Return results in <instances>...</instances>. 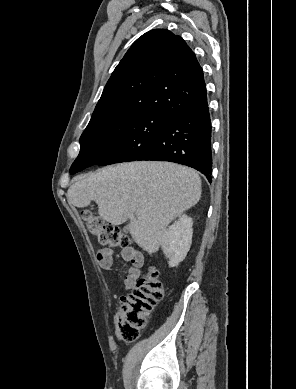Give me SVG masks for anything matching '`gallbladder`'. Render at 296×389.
<instances>
[{"mask_svg": "<svg viewBox=\"0 0 296 389\" xmlns=\"http://www.w3.org/2000/svg\"><path fill=\"white\" fill-rule=\"evenodd\" d=\"M127 230H128V227H125V228H124V231H127Z\"/></svg>", "mask_w": 296, "mask_h": 389, "instance_id": "obj_1", "label": "gallbladder"}]
</instances>
